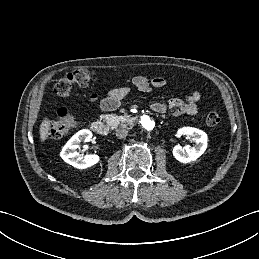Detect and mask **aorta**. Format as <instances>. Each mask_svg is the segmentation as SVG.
Here are the masks:
<instances>
[{"instance_id": "1", "label": "aorta", "mask_w": 259, "mask_h": 259, "mask_svg": "<svg viewBox=\"0 0 259 259\" xmlns=\"http://www.w3.org/2000/svg\"><path fill=\"white\" fill-rule=\"evenodd\" d=\"M140 126L144 129V130H152L155 126V122L152 119V117L148 116V115H144L141 120H140Z\"/></svg>"}]
</instances>
